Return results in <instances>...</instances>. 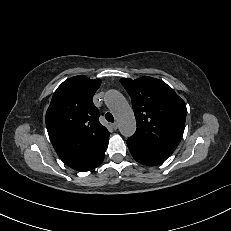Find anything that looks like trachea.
<instances>
[{
    "instance_id": "trachea-1",
    "label": "trachea",
    "mask_w": 231,
    "mask_h": 231,
    "mask_svg": "<svg viewBox=\"0 0 231 231\" xmlns=\"http://www.w3.org/2000/svg\"><path fill=\"white\" fill-rule=\"evenodd\" d=\"M105 118L108 122H114V117L111 113H106Z\"/></svg>"
}]
</instances>
